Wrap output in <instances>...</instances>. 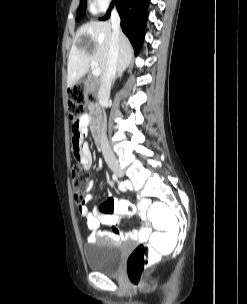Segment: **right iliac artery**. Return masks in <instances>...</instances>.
<instances>
[{"mask_svg": "<svg viewBox=\"0 0 247 304\" xmlns=\"http://www.w3.org/2000/svg\"><path fill=\"white\" fill-rule=\"evenodd\" d=\"M114 181H117V176L115 174L112 175Z\"/></svg>", "mask_w": 247, "mask_h": 304, "instance_id": "obj_1", "label": "right iliac artery"}]
</instances>
